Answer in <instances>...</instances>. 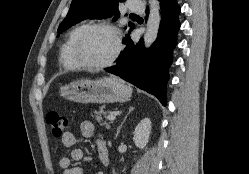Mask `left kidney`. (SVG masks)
I'll list each match as a JSON object with an SVG mask.
<instances>
[{"label":"left kidney","mask_w":249,"mask_h":174,"mask_svg":"<svg viewBox=\"0 0 249 174\" xmlns=\"http://www.w3.org/2000/svg\"><path fill=\"white\" fill-rule=\"evenodd\" d=\"M151 133V121L143 119L135 128L133 141L137 147L144 149L149 141Z\"/></svg>","instance_id":"1"}]
</instances>
